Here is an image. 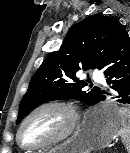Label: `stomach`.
<instances>
[{
  "label": "stomach",
  "instance_id": "stomach-1",
  "mask_svg": "<svg viewBox=\"0 0 130 153\" xmlns=\"http://www.w3.org/2000/svg\"><path fill=\"white\" fill-rule=\"evenodd\" d=\"M121 125L118 107L107 103L89 111L74 135L63 145L43 153H90L106 147Z\"/></svg>",
  "mask_w": 130,
  "mask_h": 153
}]
</instances>
